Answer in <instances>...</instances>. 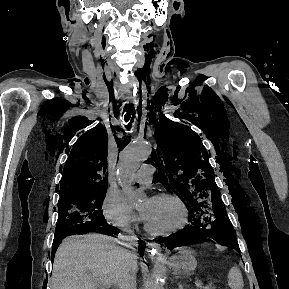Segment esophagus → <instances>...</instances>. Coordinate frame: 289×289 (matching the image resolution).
Segmentation results:
<instances>
[{
    "label": "esophagus",
    "mask_w": 289,
    "mask_h": 289,
    "mask_svg": "<svg viewBox=\"0 0 289 289\" xmlns=\"http://www.w3.org/2000/svg\"><path fill=\"white\" fill-rule=\"evenodd\" d=\"M146 251L150 257L159 258L161 256V246L156 242H148Z\"/></svg>",
    "instance_id": "obj_1"
}]
</instances>
